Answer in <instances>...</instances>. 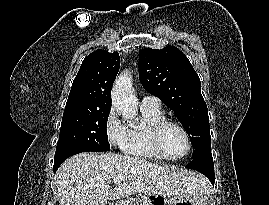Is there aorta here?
<instances>
[{
	"label": "aorta",
	"instance_id": "obj_1",
	"mask_svg": "<svg viewBox=\"0 0 269 205\" xmlns=\"http://www.w3.org/2000/svg\"><path fill=\"white\" fill-rule=\"evenodd\" d=\"M112 105L123 118L127 120L135 119L138 101L132 91V78L128 72L121 74L113 86Z\"/></svg>",
	"mask_w": 269,
	"mask_h": 205
}]
</instances>
